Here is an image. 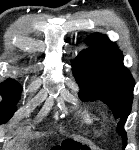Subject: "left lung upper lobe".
Masks as SVG:
<instances>
[{"mask_svg": "<svg viewBox=\"0 0 139 150\" xmlns=\"http://www.w3.org/2000/svg\"><path fill=\"white\" fill-rule=\"evenodd\" d=\"M88 42L90 47L81 51L72 63L80 96L85 101L100 99L110 107L114 117L120 119L117 131L125 148L123 126L131 110L134 79L123 65V55L114 42L99 34H92Z\"/></svg>", "mask_w": 139, "mask_h": 150, "instance_id": "5c2ea615", "label": "left lung upper lobe"}]
</instances>
